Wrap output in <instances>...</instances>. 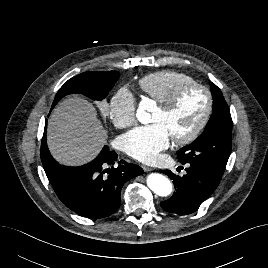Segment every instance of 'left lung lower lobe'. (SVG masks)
Returning a JSON list of instances; mask_svg holds the SVG:
<instances>
[{"mask_svg":"<svg viewBox=\"0 0 268 268\" xmlns=\"http://www.w3.org/2000/svg\"><path fill=\"white\" fill-rule=\"evenodd\" d=\"M187 174L180 177L170 170L161 171L173 180L175 192L172 197L161 202L165 211L176 214H190L198 210L217 188L222 175L208 166L188 164Z\"/></svg>","mask_w":268,"mask_h":268,"instance_id":"1","label":"left lung lower lobe"}]
</instances>
